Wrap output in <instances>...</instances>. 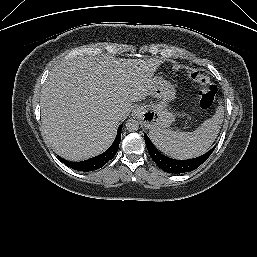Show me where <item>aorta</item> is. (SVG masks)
Segmentation results:
<instances>
[{
  "instance_id": "obj_1",
  "label": "aorta",
  "mask_w": 257,
  "mask_h": 257,
  "mask_svg": "<svg viewBox=\"0 0 257 257\" xmlns=\"http://www.w3.org/2000/svg\"><path fill=\"white\" fill-rule=\"evenodd\" d=\"M125 126L128 131L134 132L139 129V122L135 119H129L126 121Z\"/></svg>"
}]
</instances>
